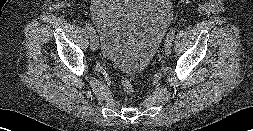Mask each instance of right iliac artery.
<instances>
[{
  "instance_id": "82829eb1",
  "label": "right iliac artery",
  "mask_w": 253,
  "mask_h": 131,
  "mask_svg": "<svg viewBox=\"0 0 253 131\" xmlns=\"http://www.w3.org/2000/svg\"><path fill=\"white\" fill-rule=\"evenodd\" d=\"M85 27H86V30H88L90 34H92L94 32V29H93V27L91 26L90 23L86 22Z\"/></svg>"
}]
</instances>
